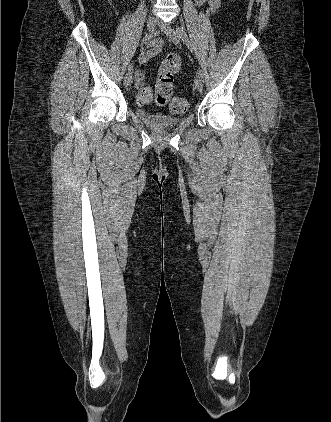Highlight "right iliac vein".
<instances>
[{"instance_id": "obj_1", "label": "right iliac vein", "mask_w": 331, "mask_h": 422, "mask_svg": "<svg viewBox=\"0 0 331 422\" xmlns=\"http://www.w3.org/2000/svg\"><path fill=\"white\" fill-rule=\"evenodd\" d=\"M157 25V19L154 17H149L148 21H147V31L148 34L147 35H151L155 29ZM132 72H128L126 74V76L124 77V85L125 87H129L132 83Z\"/></svg>"}]
</instances>
